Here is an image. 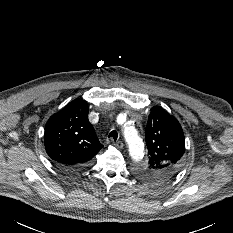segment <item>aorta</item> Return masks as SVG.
<instances>
[{
    "mask_svg": "<svg viewBox=\"0 0 233 233\" xmlns=\"http://www.w3.org/2000/svg\"><path fill=\"white\" fill-rule=\"evenodd\" d=\"M120 118V117H119ZM124 136L129 146V152L133 160L139 161L144 156V144L134 127L125 126Z\"/></svg>",
    "mask_w": 233,
    "mask_h": 233,
    "instance_id": "obj_1",
    "label": "aorta"
}]
</instances>
